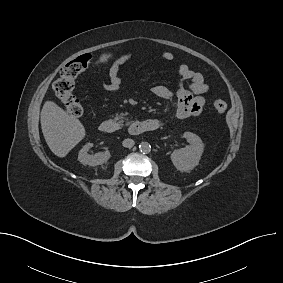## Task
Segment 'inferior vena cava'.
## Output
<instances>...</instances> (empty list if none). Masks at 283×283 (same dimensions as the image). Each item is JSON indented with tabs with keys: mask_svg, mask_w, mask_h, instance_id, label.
Masks as SVG:
<instances>
[{
	"mask_svg": "<svg viewBox=\"0 0 283 283\" xmlns=\"http://www.w3.org/2000/svg\"><path fill=\"white\" fill-rule=\"evenodd\" d=\"M135 142L133 139H124L122 142V145L126 148H132L134 146Z\"/></svg>",
	"mask_w": 283,
	"mask_h": 283,
	"instance_id": "602c4592",
	"label": "inferior vena cava"
}]
</instances>
